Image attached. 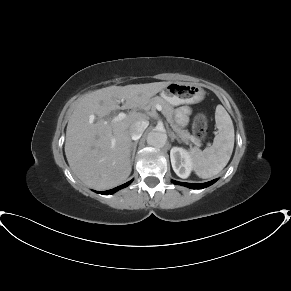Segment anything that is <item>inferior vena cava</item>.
Here are the masks:
<instances>
[{"instance_id": "602c4592", "label": "inferior vena cava", "mask_w": 291, "mask_h": 291, "mask_svg": "<svg viewBox=\"0 0 291 291\" xmlns=\"http://www.w3.org/2000/svg\"><path fill=\"white\" fill-rule=\"evenodd\" d=\"M149 122L147 120H141V121H136L133 124H131L129 128V133L132 138V140H138L144 130L148 127Z\"/></svg>"}]
</instances>
